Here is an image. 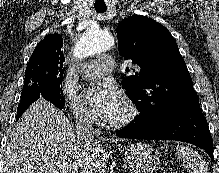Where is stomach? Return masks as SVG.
<instances>
[{"mask_svg": "<svg viewBox=\"0 0 219 173\" xmlns=\"http://www.w3.org/2000/svg\"><path fill=\"white\" fill-rule=\"evenodd\" d=\"M126 163L134 173H154L161 165V154L145 142H136L124 149Z\"/></svg>", "mask_w": 219, "mask_h": 173, "instance_id": "obj_1", "label": "stomach"}]
</instances>
